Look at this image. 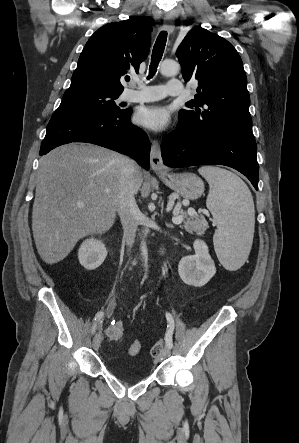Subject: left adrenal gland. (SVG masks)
Returning <instances> with one entry per match:
<instances>
[{"label":"left adrenal gland","mask_w":299,"mask_h":443,"mask_svg":"<svg viewBox=\"0 0 299 443\" xmlns=\"http://www.w3.org/2000/svg\"><path fill=\"white\" fill-rule=\"evenodd\" d=\"M169 228H173V226L171 224H166Z\"/></svg>","instance_id":"1"}]
</instances>
